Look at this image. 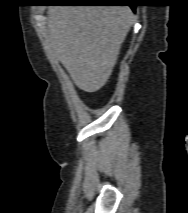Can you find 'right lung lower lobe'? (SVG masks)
Wrapping results in <instances>:
<instances>
[{"instance_id": "98d812e1", "label": "right lung lower lobe", "mask_w": 188, "mask_h": 213, "mask_svg": "<svg viewBox=\"0 0 188 213\" xmlns=\"http://www.w3.org/2000/svg\"><path fill=\"white\" fill-rule=\"evenodd\" d=\"M86 1V0H85ZM92 2H85V3H114V2H100V1H114V0H87ZM59 2V1H56ZM55 1L53 3H56ZM120 3V2H119ZM122 3V2H121ZM124 3V2H123ZM133 10L135 9V5H129Z\"/></svg>"}]
</instances>
